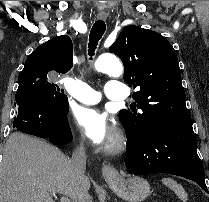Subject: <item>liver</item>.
I'll return each mask as SVG.
<instances>
[{"label":"liver","instance_id":"liver-1","mask_svg":"<svg viewBox=\"0 0 209 202\" xmlns=\"http://www.w3.org/2000/svg\"><path fill=\"white\" fill-rule=\"evenodd\" d=\"M82 184L88 190L87 176ZM79 182L71 161L48 142L13 133L0 164V202H54L50 190L77 202Z\"/></svg>","mask_w":209,"mask_h":202}]
</instances>
